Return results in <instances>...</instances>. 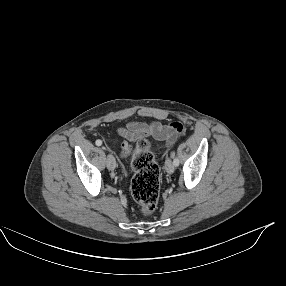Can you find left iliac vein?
<instances>
[{"label":"left iliac vein","instance_id":"obj_1","mask_svg":"<svg viewBox=\"0 0 286 286\" xmlns=\"http://www.w3.org/2000/svg\"><path fill=\"white\" fill-rule=\"evenodd\" d=\"M174 164L172 163L171 159H166L165 161V170L167 173L172 174L174 172Z\"/></svg>","mask_w":286,"mask_h":286}]
</instances>
